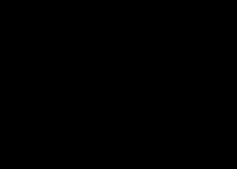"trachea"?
<instances>
[{
	"label": "trachea",
	"mask_w": 237,
	"mask_h": 169,
	"mask_svg": "<svg viewBox=\"0 0 237 169\" xmlns=\"http://www.w3.org/2000/svg\"><path fill=\"white\" fill-rule=\"evenodd\" d=\"M122 82H118V83H116V84H113V85H103V86H101V91L103 92V93H110V92H112L114 89H116L117 87H118V85H120ZM119 93H120V95L121 96H123V97H125V96H127L128 94H129V92L128 91H126V90H120L119 91Z\"/></svg>",
	"instance_id": "trachea-1"
}]
</instances>
